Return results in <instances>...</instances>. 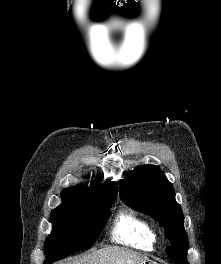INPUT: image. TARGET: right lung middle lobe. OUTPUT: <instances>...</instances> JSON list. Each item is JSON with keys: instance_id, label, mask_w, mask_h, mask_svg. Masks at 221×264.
<instances>
[{"instance_id": "right-lung-middle-lobe-1", "label": "right lung middle lobe", "mask_w": 221, "mask_h": 264, "mask_svg": "<svg viewBox=\"0 0 221 264\" xmlns=\"http://www.w3.org/2000/svg\"><path fill=\"white\" fill-rule=\"evenodd\" d=\"M115 198H99L81 207L54 209L50 215L53 230L45 242L48 254L44 264H52L94 244Z\"/></svg>"}]
</instances>
